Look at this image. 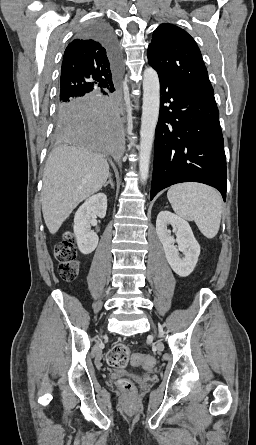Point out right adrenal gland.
Returning a JSON list of instances; mask_svg holds the SVG:
<instances>
[{
	"mask_svg": "<svg viewBox=\"0 0 256 445\" xmlns=\"http://www.w3.org/2000/svg\"><path fill=\"white\" fill-rule=\"evenodd\" d=\"M108 184H110L111 187L114 188V183H113V180L111 178V173H109L108 181L103 185V187H106Z\"/></svg>",
	"mask_w": 256,
	"mask_h": 445,
	"instance_id": "obj_1",
	"label": "right adrenal gland"
}]
</instances>
